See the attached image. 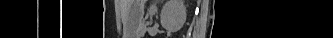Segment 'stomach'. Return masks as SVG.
Wrapping results in <instances>:
<instances>
[{
  "label": "stomach",
  "instance_id": "0dacf381",
  "mask_svg": "<svg viewBox=\"0 0 333 38\" xmlns=\"http://www.w3.org/2000/svg\"><path fill=\"white\" fill-rule=\"evenodd\" d=\"M143 0H137V5H136V13L134 15V22L136 24V27L139 29L142 20H143V15H144V8H143Z\"/></svg>",
  "mask_w": 333,
  "mask_h": 38
}]
</instances>
